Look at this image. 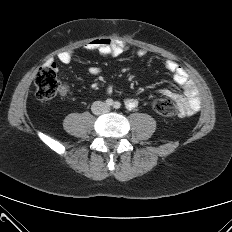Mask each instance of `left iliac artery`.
Masks as SVG:
<instances>
[{
    "label": "left iliac artery",
    "mask_w": 232,
    "mask_h": 232,
    "mask_svg": "<svg viewBox=\"0 0 232 232\" xmlns=\"http://www.w3.org/2000/svg\"><path fill=\"white\" fill-rule=\"evenodd\" d=\"M120 106H121L120 102L117 101V102L114 103V108L115 109H119Z\"/></svg>",
    "instance_id": "1"
}]
</instances>
